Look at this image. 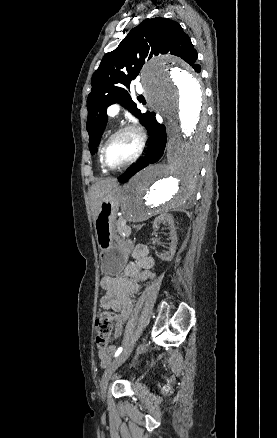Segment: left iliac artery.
Instances as JSON below:
<instances>
[{
	"mask_svg": "<svg viewBox=\"0 0 277 438\" xmlns=\"http://www.w3.org/2000/svg\"><path fill=\"white\" fill-rule=\"evenodd\" d=\"M122 350H123V348L122 347H119L118 349H117V351L115 352V357H117V356H119L120 354H121V352H122Z\"/></svg>",
	"mask_w": 277,
	"mask_h": 438,
	"instance_id": "obj_1",
	"label": "left iliac artery"
}]
</instances>
